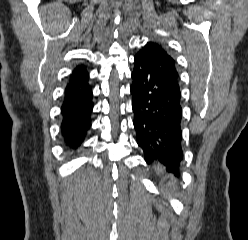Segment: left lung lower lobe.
<instances>
[{
  "instance_id": "obj_1",
  "label": "left lung lower lobe",
  "mask_w": 248,
  "mask_h": 240,
  "mask_svg": "<svg viewBox=\"0 0 248 240\" xmlns=\"http://www.w3.org/2000/svg\"><path fill=\"white\" fill-rule=\"evenodd\" d=\"M131 94L136 140L147 162L158 160L178 173L183 159L179 85L136 54Z\"/></svg>"
}]
</instances>
